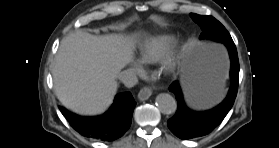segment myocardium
I'll return each mask as SVG.
<instances>
[{
  "label": "myocardium",
  "mask_w": 279,
  "mask_h": 148,
  "mask_svg": "<svg viewBox=\"0 0 279 148\" xmlns=\"http://www.w3.org/2000/svg\"><path fill=\"white\" fill-rule=\"evenodd\" d=\"M181 49L177 46L162 61L161 71L165 74H172L176 71L181 60Z\"/></svg>",
  "instance_id": "myocardium-1"
}]
</instances>
